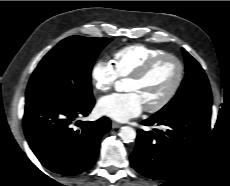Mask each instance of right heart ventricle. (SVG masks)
Returning a JSON list of instances; mask_svg holds the SVG:
<instances>
[{
  "label": "right heart ventricle",
  "mask_w": 230,
  "mask_h": 186,
  "mask_svg": "<svg viewBox=\"0 0 230 186\" xmlns=\"http://www.w3.org/2000/svg\"><path fill=\"white\" fill-rule=\"evenodd\" d=\"M165 54L161 49L143 44L122 47L112 55V64L118 77L125 78L134 74L150 59Z\"/></svg>",
  "instance_id": "e07e8e85"
}]
</instances>
